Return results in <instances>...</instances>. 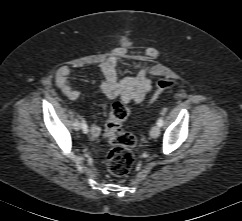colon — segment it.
Masks as SVG:
<instances>
[{"label": "colon", "mask_w": 242, "mask_h": 221, "mask_svg": "<svg viewBox=\"0 0 242 221\" xmlns=\"http://www.w3.org/2000/svg\"><path fill=\"white\" fill-rule=\"evenodd\" d=\"M173 85L174 81L172 80L160 79L153 99ZM129 114L128 104L122 100H117L111 109L105 126V133L111 146L106 155V166L111 174L118 177L126 176L134 162L132 148L136 139L133 134L123 129V122Z\"/></svg>", "instance_id": "1"}]
</instances>
